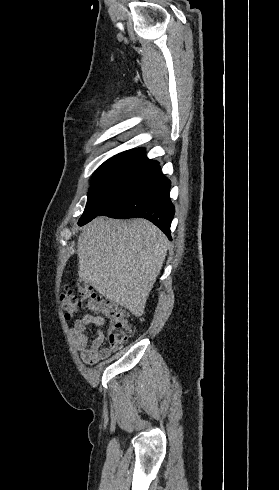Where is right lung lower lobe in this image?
<instances>
[{
    "mask_svg": "<svg viewBox=\"0 0 279 490\" xmlns=\"http://www.w3.org/2000/svg\"><path fill=\"white\" fill-rule=\"evenodd\" d=\"M170 186V181L160 170L151 179L127 186L111 195L99 216L119 219L145 218L171 239L170 226L175 208L169 198ZM82 225L84 224L80 226Z\"/></svg>",
    "mask_w": 279,
    "mask_h": 490,
    "instance_id": "1",
    "label": "right lung lower lobe"
}]
</instances>
